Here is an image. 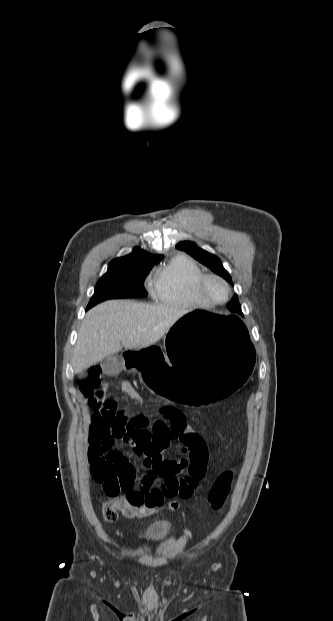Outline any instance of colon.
<instances>
[{"instance_id": "5ec220e1", "label": "colon", "mask_w": 333, "mask_h": 621, "mask_svg": "<svg viewBox=\"0 0 333 621\" xmlns=\"http://www.w3.org/2000/svg\"><path fill=\"white\" fill-rule=\"evenodd\" d=\"M96 482L102 485L103 491L108 499L103 503V516L108 522H115L119 513L130 517H142L159 511L162 506L144 505L132 507L123 497H120L122 491H128L135 486L136 471L135 467L127 461L121 469L115 468L108 462L100 463L92 473ZM233 473L226 470L216 479L213 487L208 494V503L213 510L220 509L231 489ZM170 510L178 508V502L172 501L169 504Z\"/></svg>"}]
</instances>
